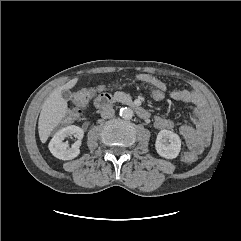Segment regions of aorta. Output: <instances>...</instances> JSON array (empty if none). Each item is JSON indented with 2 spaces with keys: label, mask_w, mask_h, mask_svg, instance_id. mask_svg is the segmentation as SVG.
Returning <instances> with one entry per match:
<instances>
[{
  "label": "aorta",
  "mask_w": 241,
  "mask_h": 241,
  "mask_svg": "<svg viewBox=\"0 0 241 241\" xmlns=\"http://www.w3.org/2000/svg\"><path fill=\"white\" fill-rule=\"evenodd\" d=\"M120 116L125 120H130L133 117V110L127 107L121 108Z\"/></svg>",
  "instance_id": "aorta-1"
}]
</instances>
